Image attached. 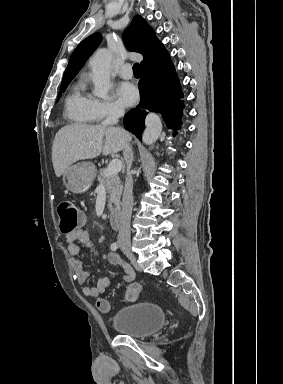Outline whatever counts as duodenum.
<instances>
[{
    "instance_id": "obj_1",
    "label": "duodenum",
    "mask_w": 283,
    "mask_h": 384,
    "mask_svg": "<svg viewBox=\"0 0 283 384\" xmlns=\"http://www.w3.org/2000/svg\"><path fill=\"white\" fill-rule=\"evenodd\" d=\"M109 221L113 228H119L121 226V213L118 211L110 213Z\"/></svg>"
}]
</instances>
